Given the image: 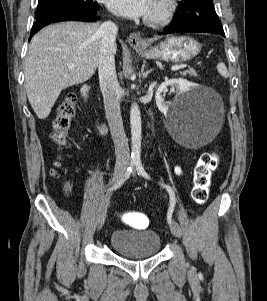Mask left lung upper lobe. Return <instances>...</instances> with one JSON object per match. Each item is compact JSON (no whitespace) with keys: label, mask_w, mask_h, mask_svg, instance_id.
Segmentation results:
<instances>
[{"label":"left lung upper lobe","mask_w":267,"mask_h":301,"mask_svg":"<svg viewBox=\"0 0 267 301\" xmlns=\"http://www.w3.org/2000/svg\"><path fill=\"white\" fill-rule=\"evenodd\" d=\"M179 11L174 15V24H200L217 32H224L213 0H181Z\"/></svg>","instance_id":"5c2ea615"}]
</instances>
